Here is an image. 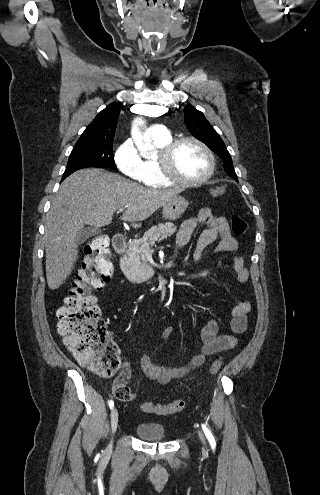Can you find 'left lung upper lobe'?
<instances>
[{
    "instance_id": "1",
    "label": "left lung upper lobe",
    "mask_w": 320,
    "mask_h": 495,
    "mask_svg": "<svg viewBox=\"0 0 320 495\" xmlns=\"http://www.w3.org/2000/svg\"><path fill=\"white\" fill-rule=\"evenodd\" d=\"M184 117L187 128L192 135L206 144L223 160L225 172L237 181L231 156L220 135L207 121L203 113L191 105H186L184 108Z\"/></svg>"
}]
</instances>
